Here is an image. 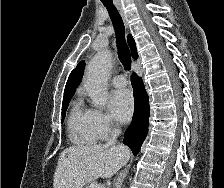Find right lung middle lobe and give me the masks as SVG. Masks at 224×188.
Returning <instances> with one entry per match:
<instances>
[{"instance_id": "dd1d6c3e", "label": "right lung middle lobe", "mask_w": 224, "mask_h": 188, "mask_svg": "<svg viewBox=\"0 0 224 188\" xmlns=\"http://www.w3.org/2000/svg\"><path fill=\"white\" fill-rule=\"evenodd\" d=\"M69 102H70V99L64 101L63 104H62V116H63V119L65 117L66 110H67ZM63 119H62V121H63Z\"/></svg>"}]
</instances>
